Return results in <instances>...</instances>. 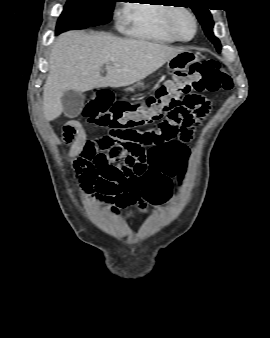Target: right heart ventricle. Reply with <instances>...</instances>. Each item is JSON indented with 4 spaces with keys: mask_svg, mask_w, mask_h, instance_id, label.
<instances>
[{
    "mask_svg": "<svg viewBox=\"0 0 270 338\" xmlns=\"http://www.w3.org/2000/svg\"><path fill=\"white\" fill-rule=\"evenodd\" d=\"M167 5L171 4L159 0L150 4H130L127 7V16L124 21L128 26V33L131 36L154 42H175V38L167 28V20L170 13L177 9V5Z\"/></svg>",
    "mask_w": 270,
    "mask_h": 338,
    "instance_id": "obj_1",
    "label": "right heart ventricle"
}]
</instances>
